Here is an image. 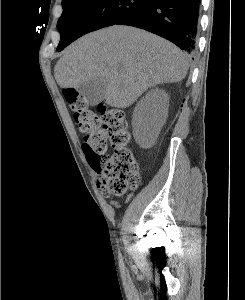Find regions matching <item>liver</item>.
<instances>
[{
    "mask_svg": "<svg viewBox=\"0 0 245 300\" xmlns=\"http://www.w3.org/2000/svg\"><path fill=\"white\" fill-rule=\"evenodd\" d=\"M187 56L169 41L147 31L114 25L89 33L70 45L58 60L54 76L63 88L105 77V101L127 108L149 88L182 81Z\"/></svg>",
    "mask_w": 245,
    "mask_h": 300,
    "instance_id": "liver-1",
    "label": "liver"
}]
</instances>
